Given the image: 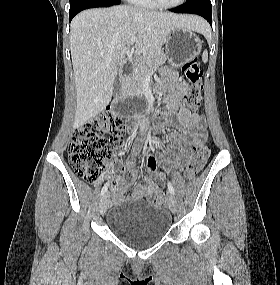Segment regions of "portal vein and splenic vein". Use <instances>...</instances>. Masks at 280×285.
Returning a JSON list of instances; mask_svg holds the SVG:
<instances>
[{
	"mask_svg": "<svg viewBox=\"0 0 280 285\" xmlns=\"http://www.w3.org/2000/svg\"><path fill=\"white\" fill-rule=\"evenodd\" d=\"M137 41V37H132L127 41V44H133Z\"/></svg>",
	"mask_w": 280,
	"mask_h": 285,
	"instance_id": "obj_1",
	"label": "portal vein and splenic vein"
}]
</instances>
